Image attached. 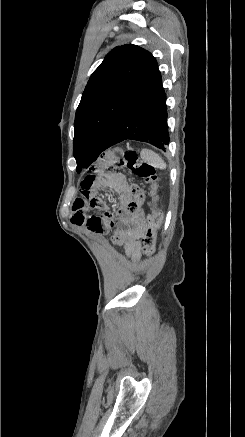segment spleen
<instances>
[{"label": "spleen", "mask_w": 245, "mask_h": 437, "mask_svg": "<svg viewBox=\"0 0 245 437\" xmlns=\"http://www.w3.org/2000/svg\"><path fill=\"white\" fill-rule=\"evenodd\" d=\"M141 158L148 162L151 166L159 169H165L167 167L164 160L153 150L143 149L140 153Z\"/></svg>", "instance_id": "spleen-1"}]
</instances>
